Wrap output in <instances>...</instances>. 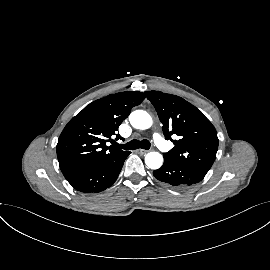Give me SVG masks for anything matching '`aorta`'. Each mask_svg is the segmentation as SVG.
Here are the masks:
<instances>
[{
    "label": "aorta",
    "mask_w": 270,
    "mask_h": 270,
    "mask_svg": "<svg viewBox=\"0 0 270 270\" xmlns=\"http://www.w3.org/2000/svg\"><path fill=\"white\" fill-rule=\"evenodd\" d=\"M130 124L136 128L145 130L152 126L151 116L143 110H135L129 116ZM145 163L150 169H159L163 163V156L159 152H149L145 156Z\"/></svg>",
    "instance_id": "aorta-1"
}]
</instances>
